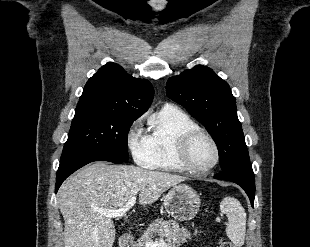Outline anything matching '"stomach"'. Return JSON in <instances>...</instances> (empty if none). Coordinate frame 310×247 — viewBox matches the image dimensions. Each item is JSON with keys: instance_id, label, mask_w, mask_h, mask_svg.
<instances>
[{"instance_id": "obj_1", "label": "stomach", "mask_w": 310, "mask_h": 247, "mask_svg": "<svg viewBox=\"0 0 310 247\" xmlns=\"http://www.w3.org/2000/svg\"><path fill=\"white\" fill-rule=\"evenodd\" d=\"M197 192L186 184L174 186L164 197V207L170 216L178 221L192 220L200 207Z\"/></svg>"}]
</instances>
